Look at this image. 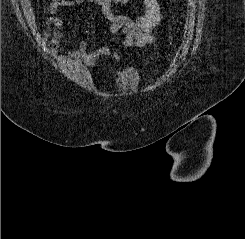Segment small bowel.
Returning <instances> with one entry per match:
<instances>
[{
    "instance_id": "obj_1",
    "label": "small bowel",
    "mask_w": 245,
    "mask_h": 239,
    "mask_svg": "<svg viewBox=\"0 0 245 239\" xmlns=\"http://www.w3.org/2000/svg\"><path fill=\"white\" fill-rule=\"evenodd\" d=\"M113 2H118L125 6L130 4V0H54L50 3L46 25L47 28L50 26L56 28L53 33V39L50 42L52 54L58 57L57 48L64 28V21L58 16V13L63 9L79 6L84 3L97 5L101 9L103 16L110 23V33H122L123 46L125 48H141L152 43V31L162 20V8L159 1L144 0L145 12L143 14H135L134 16L113 12L111 8ZM87 47V40H83L79 44L78 49L71 53L68 58L82 66L92 68L96 65L97 60L109 51L107 47H102L95 51H88ZM113 59L117 61L119 55H114Z\"/></svg>"
}]
</instances>
